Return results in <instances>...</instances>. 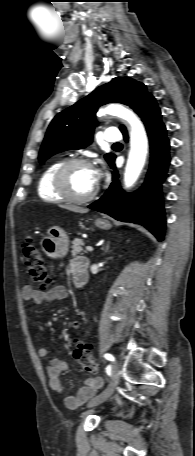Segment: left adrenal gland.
<instances>
[{"label":"left adrenal gland","mask_w":195,"mask_h":456,"mask_svg":"<svg viewBox=\"0 0 195 456\" xmlns=\"http://www.w3.org/2000/svg\"><path fill=\"white\" fill-rule=\"evenodd\" d=\"M102 249H103L104 253L110 252V250H109V249H110V242H108V243L106 244V246H105L104 248H102Z\"/></svg>","instance_id":"1"}]
</instances>
